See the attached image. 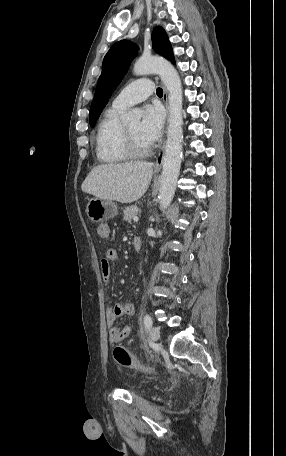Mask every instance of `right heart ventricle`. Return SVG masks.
Here are the masks:
<instances>
[{
    "instance_id": "e07e8e85",
    "label": "right heart ventricle",
    "mask_w": 286,
    "mask_h": 456,
    "mask_svg": "<svg viewBox=\"0 0 286 456\" xmlns=\"http://www.w3.org/2000/svg\"><path fill=\"white\" fill-rule=\"evenodd\" d=\"M125 109L114 107L106 110L99 123L95 147L96 155L100 162L105 164H118L129 159L123 144V124L120 116Z\"/></svg>"
}]
</instances>
